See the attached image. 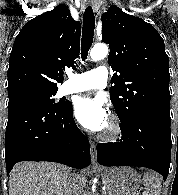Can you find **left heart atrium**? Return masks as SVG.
<instances>
[{
	"label": "left heart atrium",
	"instance_id": "left-heart-atrium-1",
	"mask_svg": "<svg viewBox=\"0 0 178 195\" xmlns=\"http://www.w3.org/2000/svg\"><path fill=\"white\" fill-rule=\"evenodd\" d=\"M74 115L84 128L94 132L103 130L109 119L103 100L88 95L75 100Z\"/></svg>",
	"mask_w": 178,
	"mask_h": 195
}]
</instances>
